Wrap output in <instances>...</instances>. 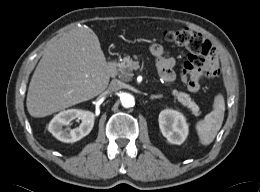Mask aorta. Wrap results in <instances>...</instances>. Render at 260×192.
<instances>
[{"label": "aorta", "instance_id": "1", "mask_svg": "<svg viewBox=\"0 0 260 192\" xmlns=\"http://www.w3.org/2000/svg\"><path fill=\"white\" fill-rule=\"evenodd\" d=\"M121 100V104L124 108H130L133 107L135 105V99L134 97L129 94V93H125L121 96L120 98Z\"/></svg>", "mask_w": 260, "mask_h": 192}]
</instances>
